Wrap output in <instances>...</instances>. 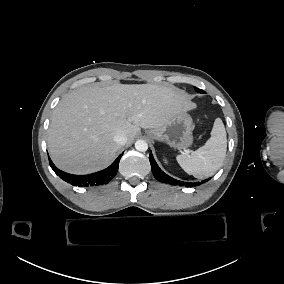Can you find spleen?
<instances>
[{
	"label": "spleen",
	"mask_w": 284,
	"mask_h": 284,
	"mask_svg": "<svg viewBox=\"0 0 284 284\" xmlns=\"http://www.w3.org/2000/svg\"><path fill=\"white\" fill-rule=\"evenodd\" d=\"M227 151V134L220 118H216L211 137L204 146L189 155H178L177 162L182 169L195 178L210 177L222 166Z\"/></svg>",
	"instance_id": "obj_1"
}]
</instances>
